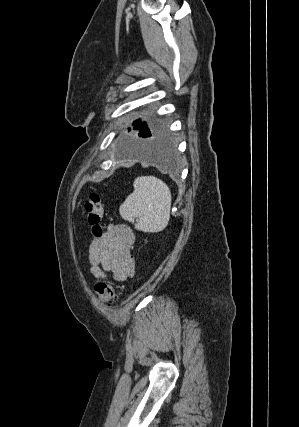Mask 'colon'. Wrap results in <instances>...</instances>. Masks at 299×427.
<instances>
[{"label": "colon", "mask_w": 299, "mask_h": 427, "mask_svg": "<svg viewBox=\"0 0 299 427\" xmlns=\"http://www.w3.org/2000/svg\"><path fill=\"white\" fill-rule=\"evenodd\" d=\"M84 208L91 234L96 238L101 237L103 234L101 221L104 215L101 197L97 193H90ZM95 293L100 301L106 303H115L118 298L116 289L109 280L98 281L95 285Z\"/></svg>", "instance_id": "5ec220e1"}]
</instances>
